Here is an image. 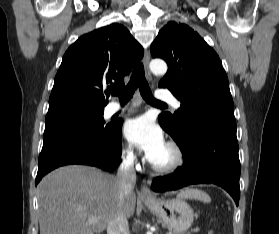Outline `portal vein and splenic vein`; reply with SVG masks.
Wrapping results in <instances>:
<instances>
[{
    "instance_id": "18ae733b",
    "label": "portal vein and splenic vein",
    "mask_w": 279,
    "mask_h": 234,
    "mask_svg": "<svg viewBox=\"0 0 279 234\" xmlns=\"http://www.w3.org/2000/svg\"><path fill=\"white\" fill-rule=\"evenodd\" d=\"M96 222H97V219L95 217H92V216L88 217V223H96ZM193 231L197 232V231H199V228L196 227L195 229H193Z\"/></svg>"
}]
</instances>
